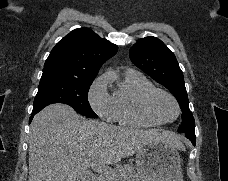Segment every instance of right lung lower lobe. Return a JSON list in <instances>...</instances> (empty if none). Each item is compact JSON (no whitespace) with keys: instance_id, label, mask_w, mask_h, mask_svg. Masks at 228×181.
<instances>
[{"instance_id":"1","label":"right lung lower lobe","mask_w":228,"mask_h":181,"mask_svg":"<svg viewBox=\"0 0 228 181\" xmlns=\"http://www.w3.org/2000/svg\"><path fill=\"white\" fill-rule=\"evenodd\" d=\"M39 111H32V114H31V117H30V121L32 120V118H33V116L35 115V114H37Z\"/></svg>"}]
</instances>
